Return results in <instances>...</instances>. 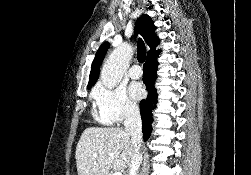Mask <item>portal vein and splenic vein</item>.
Instances as JSON below:
<instances>
[{
    "instance_id": "1",
    "label": "portal vein and splenic vein",
    "mask_w": 251,
    "mask_h": 175,
    "mask_svg": "<svg viewBox=\"0 0 251 175\" xmlns=\"http://www.w3.org/2000/svg\"><path fill=\"white\" fill-rule=\"evenodd\" d=\"M110 175H123L119 169H116V171H113V173H110Z\"/></svg>"
}]
</instances>
